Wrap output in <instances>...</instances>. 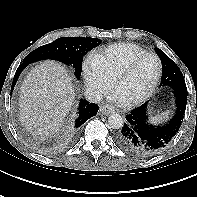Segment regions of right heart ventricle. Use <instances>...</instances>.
I'll list each match as a JSON object with an SVG mask.
<instances>
[{
	"label": "right heart ventricle",
	"mask_w": 197,
	"mask_h": 197,
	"mask_svg": "<svg viewBox=\"0 0 197 197\" xmlns=\"http://www.w3.org/2000/svg\"><path fill=\"white\" fill-rule=\"evenodd\" d=\"M145 52L144 48L133 43H117L93 54L91 63L113 80L128 62Z\"/></svg>",
	"instance_id": "obj_1"
}]
</instances>
